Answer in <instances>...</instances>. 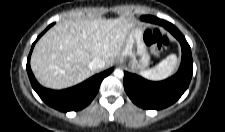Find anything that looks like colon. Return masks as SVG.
<instances>
[{
  "mask_svg": "<svg viewBox=\"0 0 225 132\" xmlns=\"http://www.w3.org/2000/svg\"><path fill=\"white\" fill-rule=\"evenodd\" d=\"M144 42L154 54H160L168 44V40L158 30H146L143 35Z\"/></svg>",
  "mask_w": 225,
  "mask_h": 132,
  "instance_id": "colon-1",
  "label": "colon"
}]
</instances>
